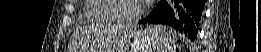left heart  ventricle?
Returning a JSON list of instances; mask_svg holds the SVG:
<instances>
[{
    "instance_id": "left-heart-ventricle-1",
    "label": "left heart ventricle",
    "mask_w": 261,
    "mask_h": 52,
    "mask_svg": "<svg viewBox=\"0 0 261 52\" xmlns=\"http://www.w3.org/2000/svg\"><path fill=\"white\" fill-rule=\"evenodd\" d=\"M141 1H119L117 3L116 12L123 16H132L137 13Z\"/></svg>"
}]
</instances>
